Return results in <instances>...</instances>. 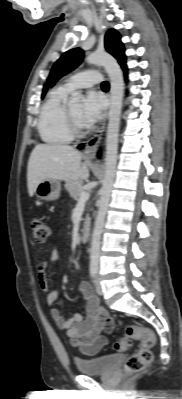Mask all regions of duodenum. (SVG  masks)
<instances>
[{
    "label": "duodenum",
    "instance_id": "obj_1",
    "mask_svg": "<svg viewBox=\"0 0 182 399\" xmlns=\"http://www.w3.org/2000/svg\"><path fill=\"white\" fill-rule=\"evenodd\" d=\"M89 236H90V229L88 226H85L81 231V239L86 242L88 241Z\"/></svg>",
    "mask_w": 182,
    "mask_h": 399
}]
</instances>
